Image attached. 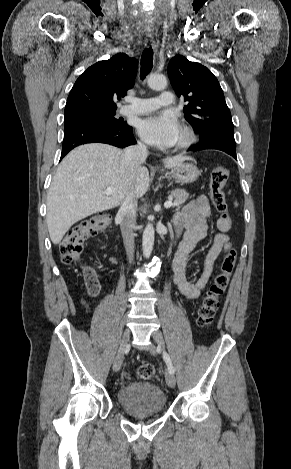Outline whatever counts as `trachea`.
Here are the masks:
<instances>
[{
  "instance_id": "obj_1",
  "label": "trachea",
  "mask_w": 291,
  "mask_h": 469,
  "mask_svg": "<svg viewBox=\"0 0 291 469\" xmlns=\"http://www.w3.org/2000/svg\"><path fill=\"white\" fill-rule=\"evenodd\" d=\"M153 66V49L151 47L144 49L141 56L140 77L144 80Z\"/></svg>"
}]
</instances>
